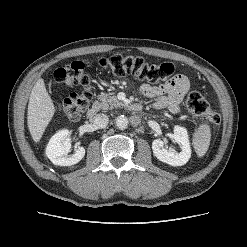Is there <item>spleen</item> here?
Here are the masks:
<instances>
[{"label":"spleen","mask_w":247,"mask_h":247,"mask_svg":"<svg viewBox=\"0 0 247 247\" xmlns=\"http://www.w3.org/2000/svg\"><path fill=\"white\" fill-rule=\"evenodd\" d=\"M210 142V128L208 125H202L200 127L199 135L195 142V151L199 157L205 155L208 150Z\"/></svg>","instance_id":"3e777b00"}]
</instances>
